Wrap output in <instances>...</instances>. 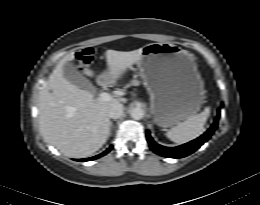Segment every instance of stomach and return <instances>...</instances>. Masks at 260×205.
Wrapping results in <instances>:
<instances>
[{"mask_svg": "<svg viewBox=\"0 0 260 205\" xmlns=\"http://www.w3.org/2000/svg\"><path fill=\"white\" fill-rule=\"evenodd\" d=\"M137 64L155 124L173 127L200 110L204 81L188 51L169 42L151 43L142 48Z\"/></svg>", "mask_w": 260, "mask_h": 205, "instance_id": "0dacf381", "label": "stomach"}]
</instances>
